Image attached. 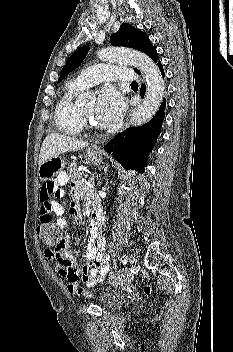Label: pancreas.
Returning a JSON list of instances; mask_svg holds the SVG:
<instances>
[{
    "mask_svg": "<svg viewBox=\"0 0 233 352\" xmlns=\"http://www.w3.org/2000/svg\"><path fill=\"white\" fill-rule=\"evenodd\" d=\"M67 170H68L69 176L72 180H76V181L84 180V173L80 172L77 169V164L75 162L70 163L67 167Z\"/></svg>",
    "mask_w": 233,
    "mask_h": 352,
    "instance_id": "pancreas-1",
    "label": "pancreas"
}]
</instances>
